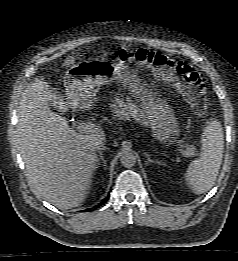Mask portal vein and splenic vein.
Returning a JSON list of instances; mask_svg holds the SVG:
<instances>
[{
  "mask_svg": "<svg viewBox=\"0 0 238 261\" xmlns=\"http://www.w3.org/2000/svg\"><path fill=\"white\" fill-rule=\"evenodd\" d=\"M77 130L84 134V133H90V132H96L98 130V127L91 122H81L77 125ZM180 154H182L184 157H194V153H190L186 150L177 148L176 149Z\"/></svg>",
  "mask_w": 238,
  "mask_h": 261,
  "instance_id": "18ae733b",
  "label": "portal vein and splenic vein"
}]
</instances>
